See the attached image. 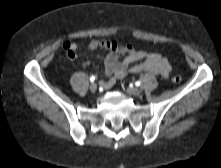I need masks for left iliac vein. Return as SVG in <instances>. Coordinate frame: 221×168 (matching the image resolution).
I'll return each mask as SVG.
<instances>
[{
  "mask_svg": "<svg viewBox=\"0 0 221 168\" xmlns=\"http://www.w3.org/2000/svg\"><path fill=\"white\" fill-rule=\"evenodd\" d=\"M127 92L130 94V95H134V96H138L140 95L141 91L136 88V87H130L127 89Z\"/></svg>",
  "mask_w": 221,
  "mask_h": 168,
  "instance_id": "4c4485c4",
  "label": "left iliac vein"
}]
</instances>
